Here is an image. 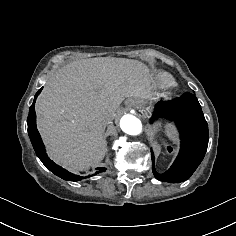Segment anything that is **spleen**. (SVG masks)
Returning a JSON list of instances; mask_svg holds the SVG:
<instances>
[{"instance_id":"3e777b00","label":"spleen","mask_w":236,"mask_h":236,"mask_svg":"<svg viewBox=\"0 0 236 236\" xmlns=\"http://www.w3.org/2000/svg\"><path fill=\"white\" fill-rule=\"evenodd\" d=\"M165 133L168 136V138L173 141V143L175 144L179 143L178 133L174 125L167 124L165 128Z\"/></svg>"}]
</instances>
